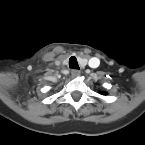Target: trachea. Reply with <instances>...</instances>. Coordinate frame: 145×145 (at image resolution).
Segmentation results:
<instances>
[{"instance_id":"1","label":"trachea","mask_w":145,"mask_h":145,"mask_svg":"<svg viewBox=\"0 0 145 145\" xmlns=\"http://www.w3.org/2000/svg\"><path fill=\"white\" fill-rule=\"evenodd\" d=\"M69 67L72 69H79V65H78L76 57H74V56L70 57Z\"/></svg>"}]
</instances>
